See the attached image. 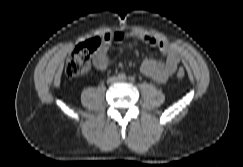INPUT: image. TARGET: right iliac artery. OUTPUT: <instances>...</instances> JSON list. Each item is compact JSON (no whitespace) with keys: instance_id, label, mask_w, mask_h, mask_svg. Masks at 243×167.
I'll return each mask as SVG.
<instances>
[{"instance_id":"1","label":"right iliac artery","mask_w":243,"mask_h":167,"mask_svg":"<svg viewBox=\"0 0 243 167\" xmlns=\"http://www.w3.org/2000/svg\"><path fill=\"white\" fill-rule=\"evenodd\" d=\"M118 78L121 79V80H124V79H126V75L124 73H120L118 75Z\"/></svg>"}]
</instances>
